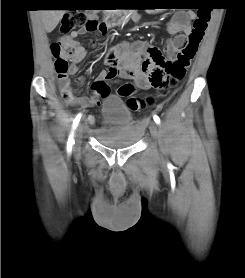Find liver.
<instances>
[{
    "mask_svg": "<svg viewBox=\"0 0 245 278\" xmlns=\"http://www.w3.org/2000/svg\"><path fill=\"white\" fill-rule=\"evenodd\" d=\"M66 10H41V20L45 30L52 32L61 21Z\"/></svg>",
    "mask_w": 245,
    "mask_h": 278,
    "instance_id": "6515ba94",
    "label": "liver"
}]
</instances>
